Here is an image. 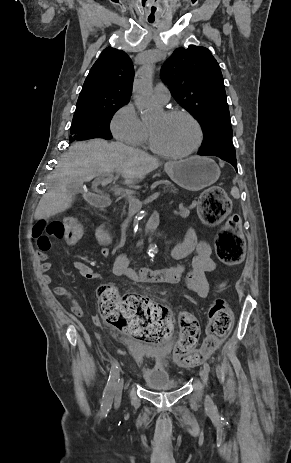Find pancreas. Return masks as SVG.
Masks as SVG:
<instances>
[{"instance_id": "1", "label": "pancreas", "mask_w": 291, "mask_h": 463, "mask_svg": "<svg viewBox=\"0 0 291 463\" xmlns=\"http://www.w3.org/2000/svg\"><path fill=\"white\" fill-rule=\"evenodd\" d=\"M158 184H165V181H160L158 182ZM163 193H168L170 195H178L179 194V189L177 187H175L172 183H169V184H165V186L163 187ZM135 197V196H134Z\"/></svg>"}]
</instances>
